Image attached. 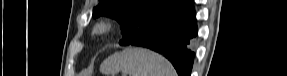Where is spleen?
<instances>
[{"mask_svg":"<svg viewBox=\"0 0 287 76\" xmlns=\"http://www.w3.org/2000/svg\"><path fill=\"white\" fill-rule=\"evenodd\" d=\"M100 70L108 76L119 71L125 76H176L172 64L163 56L137 47L115 52L102 63Z\"/></svg>","mask_w":287,"mask_h":76,"instance_id":"spleen-1","label":"spleen"}]
</instances>
